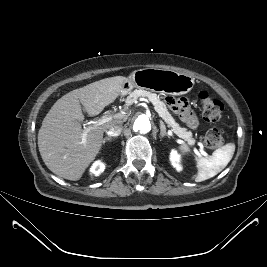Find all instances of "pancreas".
Listing matches in <instances>:
<instances>
[{
	"label": "pancreas",
	"instance_id": "obj_1",
	"mask_svg": "<svg viewBox=\"0 0 267 267\" xmlns=\"http://www.w3.org/2000/svg\"><path fill=\"white\" fill-rule=\"evenodd\" d=\"M140 97H146L154 105L155 110L158 112L160 117L163 118L165 123L172 128V131L180 138L185 140L189 145L195 144V139L191 131H187L186 128H182L178 123L175 122L174 118L169 113L165 103L157 96V94L145 91L142 89L134 90L126 98V104L131 105L137 101Z\"/></svg>",
	"mask_w": 267,
	"mask_h": 267
}]
</instances>
